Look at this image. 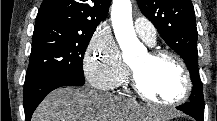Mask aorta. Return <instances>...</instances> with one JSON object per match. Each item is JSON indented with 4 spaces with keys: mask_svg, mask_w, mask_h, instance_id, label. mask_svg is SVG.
I'll list each match as a JSON object with an SVG mask.
<instances>
[{
    "mask_svg": "<svg viewBox=\"0 0 217 121\" xmlns=\"http://www.w3.org/2000/svg\"><path fill=\"white\" fill-rule=\"evenodd\" d=\"M111 20L115 37L123 52V59L128 61L142 48L133 27L131 1L113 0Z\"/></svg>",
    "mask_w": 217,
    "mask_h": 121,
    "instance_id": "762f6f07",
    "label": "aorta"
}]
</instances>
